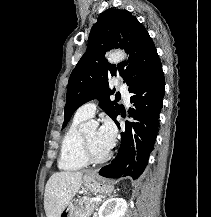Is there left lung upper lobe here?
<instances>
[{"instance_id":"obj_1","label":"left lung upper lobe","mask_w":211,"mask_h":217,"mask_svg":"<svg viewBox=\"0 0 211 217\" xmlns=\"http://www.w3.org/2000/svg\"><path fill=\"white\" fill-rule=\"evenodd\" d=\"M114 48L126 50L129 58L118 65L110 64L104 55ZM160 64L151 37L136 17L127 10L104 11L92 27L87 50L69 78L62 128L76 109L93 98L100 99V107L115 121L120 106L109 98L114 93L109 89V79L119 75L130 89Z\"/></svg>"}]
</instances>
